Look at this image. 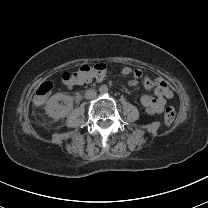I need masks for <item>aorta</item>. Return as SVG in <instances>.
Listing matches in <instances>:
<instances>
[{
    "label": "aorta",
    "mask_w": 208,
    "mask_h": 208,
    "mask_svg": "<svg viewBox=\"0 0 208 208\" xmlns=\"http://www.w3.org/2000/svg\"><path fill=\"white\" fill-rule=\"evenodd\" d=\"M99 92L101 94H106L108 92V86L106 84H101L99 86Z\"/></svg>",
    "instance_id": "obj_1"
}]
</instances>
